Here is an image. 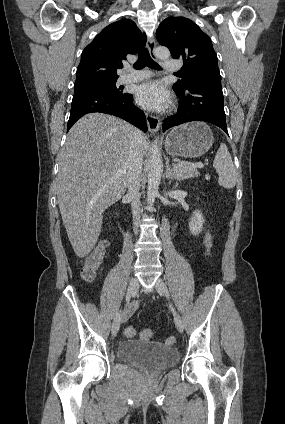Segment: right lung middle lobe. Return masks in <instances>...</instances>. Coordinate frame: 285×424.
Listing matches in <instances>:
<instances>
[{"instance_id": "right-lung-middle-lobe-1", "label": "right lung middle lobe", "mask_w": 285, "mask_h": 424, "mask_svg": "<svg viewBox=\"0 0 285 424\" xmlns=\"http://www.w3.org/2000/svg\"><path fill=\"white\" fill-rule=\"evenodd\" d=\"M116 81L117 80L78 83L74 85V93L93 91L111 95H122L123 93L116 87Z\"/></svg>"}]
</instances>
